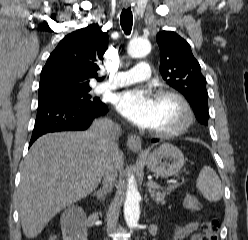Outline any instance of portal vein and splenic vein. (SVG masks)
Wrapping results in <instances>:
<instances>
[{
    "label": "portal vein and splenic vein",
    "instance_id": "portal-vein-and-splenic-vein-1",
    "mask_svg": "<svg viewBox=\"0 0 248 240\" xmlns=\"http://www.w3.org/2000/svg\"><path fill=\"white\" fill-rule=\"evenodd\" d=\"M147 185L149 187H155V186H157V184L155 182H153V181H148Z\"/></svg>",
    "mask_w": 248,
    "mask_h": 240
}]
</instances>
